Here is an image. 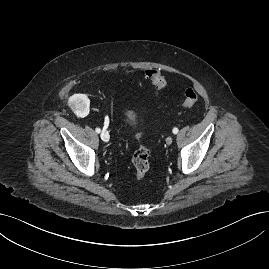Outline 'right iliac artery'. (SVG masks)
I'll return each instance as SVG.
<instances>
[{
	"instance_id": "obj_1",
	"label": "right iliac artery",
	"mask_w": 269,
	"mask_h": 269,
	"mask_svg": "<svg viewBox=\"0 0 269 269\" xmlns=\"http://www.w3.org/2000/svg\"><path fill=\"white\" fill-rule=\"evenodd\" d=\"M95 131H96L97 133H100V132H101V129H100V128H96Z\"/></svg>"
}]
</instances>
